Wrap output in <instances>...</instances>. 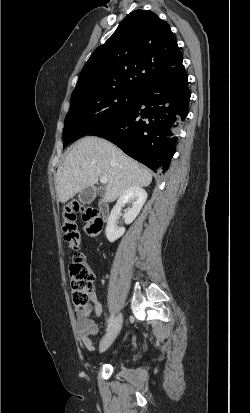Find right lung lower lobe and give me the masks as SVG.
Listing matches in <instances>:
<instances>
[{
  "instance_id": "obj_1",
  "label": "right lung lower lobe",
  "mask_w": 250,
  "mask_h": 413,
  "mask_svg": "<svg viewBox=\"0 0 250 413\" xmlns=\"http://www.w3.org/2000/svg\"><path fill=\"white\" fill-rule=\"evenodd\" d=\"M188 76L145 85L118 116L88 135L107 139L154 172L169 168L189 110Z\"/></svg>"
}]
</instances>
